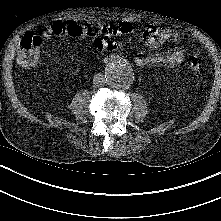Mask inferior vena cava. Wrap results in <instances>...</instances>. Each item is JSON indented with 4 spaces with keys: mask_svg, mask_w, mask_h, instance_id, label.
Segmentation results:
<instances>
[{
    "mask_svg": "<svg viewBox=\"0 0 221 221\" xmlns=\"http://www.w3.org/2000/svg\"><path fill=\"white\" fill-rule=\"evenodd\" d=\"M106 83L105 77L103 74L98 73L94 75L93 84L96 86H103Z\"/></svg>",
    "mask_w": 221,
    "mask_h": 221,
    "instance_id": "inferior-vena-cava-1",
    "label": "inferior vena cava"
}]
</instances>
